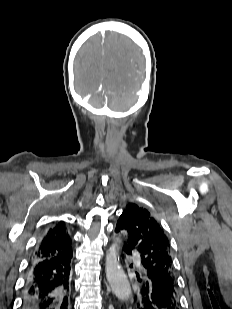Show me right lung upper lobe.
I'll return each instance as SVG.
<instances>
[{"instance_id":"right-lung-upper-lobe-1","label":"right lung upper lobe","mask_w":232,"mask_h":309,"mask_svg":"<svg viewBox=\"0 0 232 309\" xmlns=\"http://www.w3.org/2000/svg\"><path fill=\"white\" fill-rule=\"evenodd\" d=\"M71 243L65 222L60 221L44 234L33 255V259L66 258L72 253Z\"/></svg>"}]
</instances>
